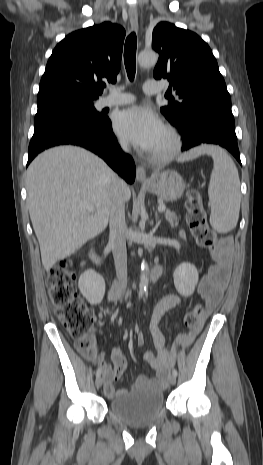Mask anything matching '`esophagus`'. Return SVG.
<instances>
[{
    "instance_id": "esophagus-1",
    "label": "esophagus",
    "mask_w": 263,
    "mask_h": 465,
    "mask_svg": "<svg viewBox=\"0 0 263 465\" xmlns=\"http://www.w3.org/2000/svg\"><path fill=\"white\" fill-rule=\"evenodd\" d=\"M129 20H130V24H131L132 29L137 31V29H138V16H137V14H130L129 15ZM136 179L140 183H146L147 182L146 171L140 165L137 166Z\"/></svg>"
}]
</instances>
